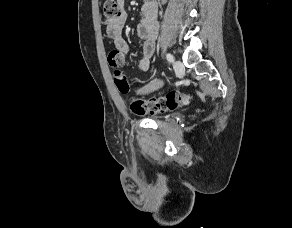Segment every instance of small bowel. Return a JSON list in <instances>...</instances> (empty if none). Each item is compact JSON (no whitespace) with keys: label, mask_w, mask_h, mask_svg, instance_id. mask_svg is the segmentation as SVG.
Instances as JSON below:
<instances>
[{"label":"small bowel","mask_w":292,"mask_h":228,"mask_svg":"<svg viewBox=\"0 0 292 228\" xmlns=\"http://www.w3.org/2000/svg\"><path fill=\"white\" fill-rule=\"evenodd\" d=\"M121 10V16L117 23L106 27L107 36L113 41L114 51L118 52L123 60L129 52V44L122 36V29L126 21L124 9L125 0H117ZM157 7L154 2L146 1L141 6V19L136 27L138 37L142 40L141 57L137 64L140 72H146L150 68L151 58L155 49V41L158 34ZM163 85L161 79H154L140 90L143 96L159 90Z\"/></svg>","instance_id":"1"}]
</instances>
